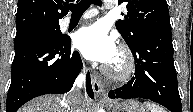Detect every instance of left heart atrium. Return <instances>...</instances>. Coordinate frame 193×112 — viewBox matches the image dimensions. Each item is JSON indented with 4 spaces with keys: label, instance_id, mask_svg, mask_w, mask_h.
Masks as SVG:
<instances>
[{
    "label": "left heart atrium",
    "instance_id": "1",
    "mask_svg": "<svg viewBox=\"0 0 193 112\" xmlns=\"http://www.w3.org/2000/svg\"><path fill=\"white\" fill-rule=\"evenodd\" d=\"M75 46L88 60L107 65L118 52L115 39L102 22L81 28L75 36Z\"/></svg>",
    "mask_w": 193,
    "mask_h": 112
}]
</instances>
